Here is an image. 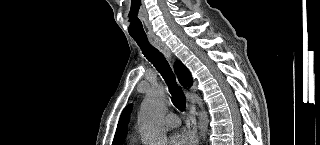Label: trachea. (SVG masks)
Listing matches in <instances>:
<instances>
[{
  "instance_id": "3493384b",
  "label": "trachea",
  "mask_w": 320,
  "mask_h": 145,
  "mask_svg": "<svg viewBox=\"0 0 320 145\" xmlns=\"http://www.w3.org/2000/svg\"><path fill=\"white\" fill-rule=\"evenodd\" d=\"M132 38L140 47L143 55L154 65L167 83L175 107L183 112L186 107V97L181 86L177 84L176 77L164 55L151 45L147 37Z\"/></svg>"
}]
</instances>
